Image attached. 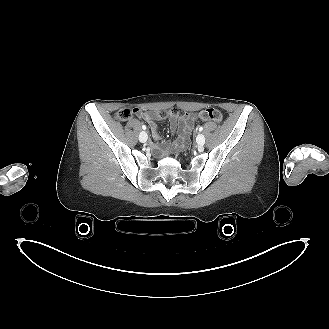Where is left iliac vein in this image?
I'll use <instances>...</instances> for the list:
<instances>
[{
    "label": "left iliac vein",
    "mask_w": 329,
    "mask_h": 329,
    "mask_svg": "<svg viewBox=\"0 0 329 329\" xmlns=\"http://www.w3.org/2000/svg\"><path fill=\"white\" fill-rule=\"evenodd\" d=\"M196 142L199 146H203L205 144V137L203 134H199L196 137Z\"/></svg>",
    "instance_id": "obj_1"
}]
</instances>
